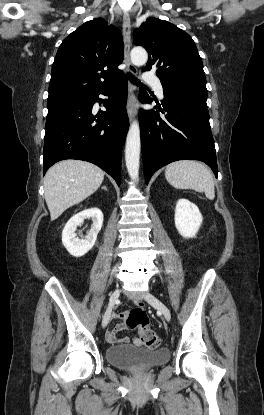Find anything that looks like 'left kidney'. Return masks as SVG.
Listing matches in <instances>:
<instances>
[{
  "label": "left kidney",
  "mask_w": 264,
  "mask_h": 415,
  "mask_svg": "<svg viewBox=\"0 0 264 415\" xmlns=\"http://www.w3.org/2000/svg\"><path fill=\"white\" fill-rule=\"evenodd\" d=\"M174 220L182 237L193 238L202 224L203 217L195 204L187 199H180L176 204Z\"/></svg>",
  "instance_id": "1"
}]
</instances>
